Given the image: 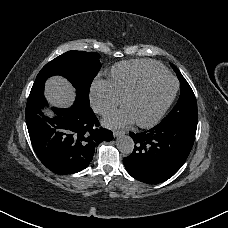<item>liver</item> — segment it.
<instances>
[{"label":"liver","mask_w":228,"mask_h":228,"mask_svg":"<svg viewBox=\"0 0 228 228\" xmlns=\"http://www.w3.org/2000/svg\"><path fill=\"white\" fill-rule=\"evenodd\" d=\"M45 97L53 106L69 107L75 99V88L67 79L53 76L45 83ZM44 113L50 118L54 116L50 110H44Z\"/></svg>","instance_id":"1"}]
</instances>
